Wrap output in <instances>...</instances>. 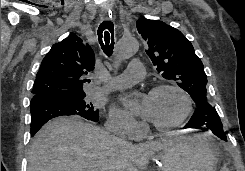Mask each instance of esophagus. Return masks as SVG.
I'll list each match as a JSON object with an SVG mask.
<instances>
[{"label":"esophagus","instance_id":"34e87169","mask_svg":"<svg viewBox=\"0 0 245 171\" xmlns=\"http://www.w3.org/2000/svg\"><path fill=\"white\" fill-rule=\"evenodd\" d=\"M101 17H102V19H108V18H111L112 15L110 13H108V10L106 8H102L101 9Z\"/></svg>","mask_w":245,"mask_h":171}]
</instances>
